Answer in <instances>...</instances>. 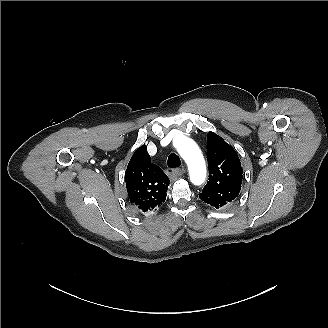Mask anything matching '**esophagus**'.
Returning a JSON list of instances; mask_svg holds the SVG:
<instances>
[{
	"mask_svg": "<svg viewBox=\"0 0 328 328\" xmlns=\"http://www.w3.org/2000/svg\"><path fill=\"white\" fill-rule=\"evenodd\" d=\"M166 174L170 177V178H175V177H179L183 174V170L182 169H175V168H168L166 170Z\"/></svg>",
	"mask_w": 328,
	"mask_h": 328,
	"instance_id": "obj_1",
	"label": "esophagus"
}]
</instances>
